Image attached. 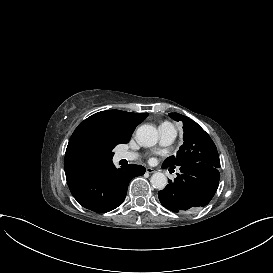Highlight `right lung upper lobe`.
I'll list each match as a JSON object with an SVG mask.
<instances>
[{"instance_id":"cb5924a9","label":"right lung upper lobe","mask_w":273,"mask_h":273,"mask_svg":"<svg viewBox=\"0 0 273 273\" xmlns=\"http://www.w3.org/2000/svg\"><path fill=\"white\" fill-rule=\"evenodd\" d=\"M147 113L107 110L82 121L70 137L65 153L68 186L112 162L113 148L126 144Z\"/></svg>"}]
</instances>
